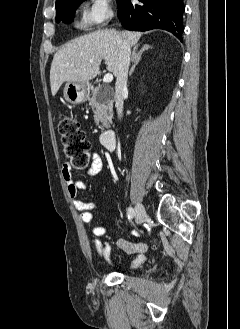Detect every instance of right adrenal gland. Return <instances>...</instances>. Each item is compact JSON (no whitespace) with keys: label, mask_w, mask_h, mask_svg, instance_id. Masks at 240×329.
Instances as JSON below:
<instances>
[{"label":"right adrenal gland","mask_w":240,"mask_h":329,"mask_svg":"<svg viewBox=\"0 0 240 329\" xmlns=\"http://www.w3.org/2000/svg\"><path fill=\"white\" fill-rule=\"evenodd\" d=\"M148 49H150V46H149V45H144V46L142 47V49H141L139 52H137V47H135V48L133 49V52H132V61H133L134 64H133V66H132L131 69H130V72H129V75H130V76H131L132 73L134 72V69H135L136 65L139 63L142 54H143L145 51H147Z\"/></svg>","instance_id":"2a0ac1e0"}]
</instances>
